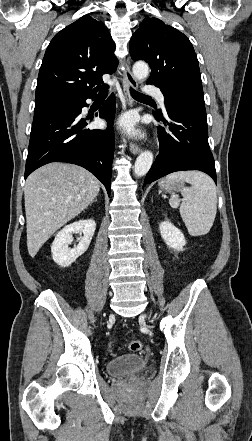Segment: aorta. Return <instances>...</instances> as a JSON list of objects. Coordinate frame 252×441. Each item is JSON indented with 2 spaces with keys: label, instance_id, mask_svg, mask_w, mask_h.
Segmentation results:
<instances>
[{
  "label": "aorta",
  "instance_id": "obj_1",
  "mask_svg": "<svg viewBox=\"0 0 252 441\" xmlns=\"http://www.w3.org/2000/svg\"><path fill=\"white\" fill-rule=\"evenodd\" d=\"M149 74V67L145 62H136L133 65V75L137 80L145 79ZM153 163V154L150 151H143L136 159L134 173L137 177L146 175Z\"/></svg>",
  "mask_w": 252,
  "mask_h": 441
}]
</instances>
